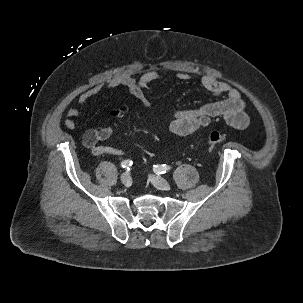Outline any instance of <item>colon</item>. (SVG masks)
<instances>
[{
  "label": "colon",
  "instance_id": "1",
  "mask_svg": "<svg viewBox=\"0 0 303 303\" xmlns=\"http://www.w3.org/2000/svg\"><path fill=\"white\" fill-rule=\"evenodd\" d=\"M126 113L125 108H116L111 111V116L114 118L123 117ZM226 140V136L220 132L214 131L210 133L207 137V145L209 147H214L223 143Z\"/></svg>",
  "mask_w": 303,
  "mask_h": 303
}]
</instances>
